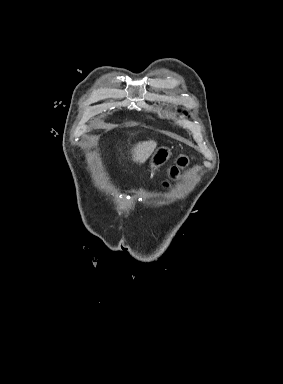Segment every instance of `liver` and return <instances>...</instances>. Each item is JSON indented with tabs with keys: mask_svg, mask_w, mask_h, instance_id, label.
<instances>
[{
	"mask_svg": "<svg viewBox=\"0 0 283 384\" xmlns=\"http://www.w3.org/2000/svg\"><path fill=\"white\" fill-rule=\"evenodd\" d=\"M157 144L150 140V142H139L136 148L132 150L133 162H138V164H144L151 154H153Z\"/></svg>",
	"mask_w": 283,
	"mask_h": 384,
	"instance_id": "liver-1",
	"label": "liver"
}]
</instances>
